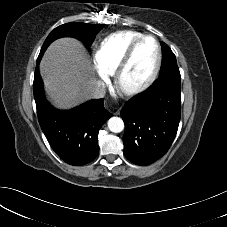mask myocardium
<instances>
[{"label":"myocardium","instance_id":"f54148a6","mask_svg":"<svg viewBox=\"0 0 227 227\" xmlns=\"http://www.w3.org/2000/svg\"><path fill=\"white\" fill-rule=\"evenodd\" d=\"M147 38H151L156 44L157 58H156L155 66L152 72L150 73V75L142 82L132 86H126L123 82L125 73L132 61V58L134 56V53L137 47L143 40ZM161 63H162V49L158 39L152 34H142L130 44V46L128 47L126 53L124 54L123 58L121 59L119 65L117 66L114 72V82L117 90L126 96H133L144 91L154 82V80L158 76V73L161 68Z\"/></svg>","mask_w":227,"mask_h":227}]
</instances>
